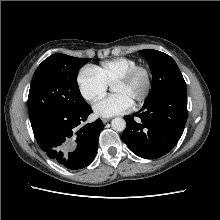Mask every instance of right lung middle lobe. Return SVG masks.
I'll list each match as a JSON object with an SVG mask.
<instances>
[{"mask_svg": "<svg viewBox=\"0 0 220 220\" xmlns=\"http://www.w3.org/2000/svg\"><path fill=\"white\" fill-rule=\"evenodd\" d=\"M90 59L53 54L37 68L28 96L30 120L54 110L78 112L88 106L83 99L77 71Z\"/></svg>", "mask_w": 220, "mask_h": 220, "instance_id": "obj_1", "label": "right lung middle lobe"}]
</instances>
